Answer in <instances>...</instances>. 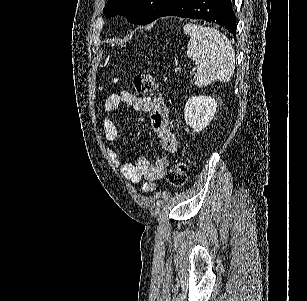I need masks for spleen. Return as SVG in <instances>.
I'll return each instance as SVG.
<instances>
[{
    "mask_svg": "<svg viewBox=\"0 0 307 301\" xmlns=\"http://www.w3.org/2000/svg\"><path fill=\"white\" fill-rule=\"evenodd\" d=\"M183 32L190 36L187 56L197 64L194 84L202 88L216 80H231L235 70V52L229 38L217 28L192 22L184 24Z\"/></svg>",
    "mask_w": 307,
    "mask_h": 301,
    "instance_id": "3e777b00",
    "label": "spleen"
}]
</instances>
